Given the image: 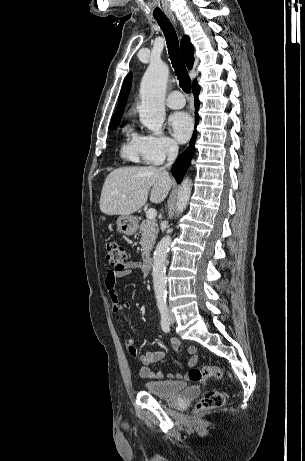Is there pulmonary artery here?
<instances>
[{
	"label": "pulmonary artery",
	"mask_w": 305,
	"mask_h": 461,
	"mask_svg": "<svg viewBox=\"0 0 305 461\" xmlns=\"http://www.w3.org/2000/svg\"><path fill=\"white\" fill-rule=\"evenodd\" d=\"M166 104L171 109H180L185 105V99L181 92L173 91L168 95Z\"/></svg>",
	"instance_id": "pulmonary-artery-1"
}]
</instances>
